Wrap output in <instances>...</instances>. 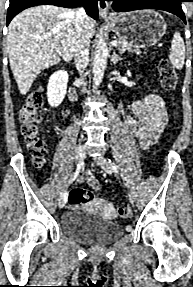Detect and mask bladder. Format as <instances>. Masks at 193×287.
Segmentation results:
<instances>
[{"instance_id":"obj_1","label":"bladder","mask_w":193,"mask_h":287,"mask_svg":"<svg viewBox=\"0 0 193 287\" xmlns=\"http://www.w3.org/2000/svg\"><path fill=\"white\" fill-rule=\"evenodd\" d=\"M61 231L74 240L90 246L106 245L123 234L122 226L102 217H92V212L72 209L61 219Z\"/></svg>"}]
</instances>
